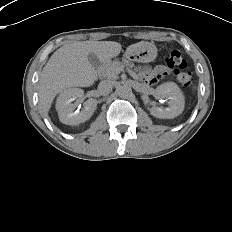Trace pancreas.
I'll use <instances>...</instances> for the list:
<instances>
[{
    "label": "pancreas",
    "mask_w": 232,
    "mask_h": 232,
    "mask_svg": "<svg viewBox=\"0 0 232 232\" xmlns=\"http://www.w3.org/2000/svg\"><path fill=\"white\" fill-rule=\"evenodd\" d=\"M133 67L135 72L139 70V67H135L134 63H131L128 60L113 61L103 66L102 73L107 78H115L117 74L123 71L125 68L131 69Z\"/></svg>",
    "instance_id": "pancreas-1"
}]
</instances>
